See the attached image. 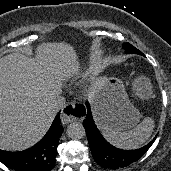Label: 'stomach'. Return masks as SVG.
Masks as SVG:
<instances>
[{
  "mask_svg": "<svg viewBox=\"0 0 171 171\" xmlns=\"http://www.w3.org/2000/svg\"><path fill=\"white\" fill-rule=\"evenodd\" d=\"M98 100L103 124L120 131L133 128L140 120L139 110L130 102L123 82L117 78L101 79Z\"/></svg>",
  "mask_w": 171,
  "mask_h": 171,
  "instance_id": "stomach-1",
  "label": "stomach"
}]
</instances>
